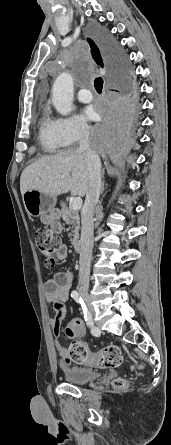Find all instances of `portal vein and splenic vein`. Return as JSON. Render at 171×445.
Here are the masks:
<instances>
[{
    "label": "portal vein and splenic vein",
    "instance_id": "1",
    "mask_svg": "<svg viewBox=\"0 0 171 445\" xmlns=\"http://www.w3.org/2000/svg\"><path fill=\"white\" fill-rule=\"evenodd\" d=\"M81 206H82V199H81V197L74 198V200H73V202L71 204L72 210L77 211V210H79L81 208Z\"/></svg>",
    "mask_w": 171,
    "mask_h": 445
}]
</instances>
